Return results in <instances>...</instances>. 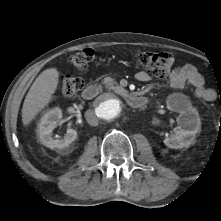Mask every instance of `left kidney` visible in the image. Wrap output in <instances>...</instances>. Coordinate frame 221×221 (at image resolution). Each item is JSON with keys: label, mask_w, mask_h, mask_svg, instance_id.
<instances>
[{"label": "left kidney", "mask_w": 221, "mask_h": 221, "mask_svg": "<svg viewBox=\"0 0 221 221\" xmlns=\"http://www.w3.org/2000/svg\"><path fill=\"white\" fill-rule=\"evenodd\" d=\"M167 108L179 113L178 126L171 137L164 139V144L173 149H181L193 143L201 130L198 111L192 107L190 100L184 94L174 93L167 98Z\"/></svg>", "instance_id": "5707ae66"}]
</instances>
